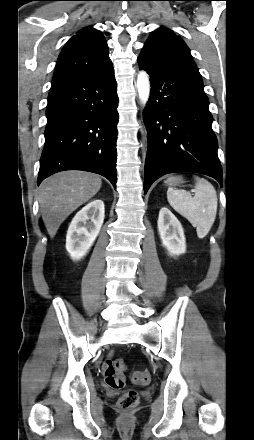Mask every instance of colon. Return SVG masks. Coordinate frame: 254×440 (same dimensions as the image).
Returning a JSON list of instances; mask_svg holds the SVG:
<instances>
[{"mask_svg":"<svg viewBox=\"0 0 254 440\" xmlns=\"http://www.w3.org/2000/svg\"><path fill=\"white\" fill-rule=\"evenodd\" d=\"M126 362L124 359L118 358L114 360L113 370L114 372L122 375L126 370ZM131 380L136 384H148L151 380L149 372H136L133 373ZM114 387L120 388L124 385V379L122 376L117 378L114 382ZM138 404V395L135 391H129L119 399V407L123 410H131Z\"/></svg>","mask_w":254,"mask_h":440,"instance_id":"5ec220e1","label":"colon"}]
</instances>
